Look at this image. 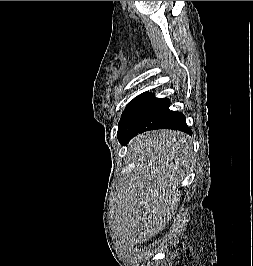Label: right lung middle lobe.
<instances>
[{
  "label": "right lung middle lobe",
  "instance_id": "1",
  "mask_svg": "<svg viewBox=\"0 0 253 266\" xmlns=\"http://www.w3.org/2000/svg\"><path fill=\"white\" fill-rule=\"evenodd\" d=\"M169 106V99L143 93L127 105L119 123L131 129L156 125L168 114Z\"/></svg>",
  "mask_w": 253,
  "mask_h": 266
}]
</instances>
